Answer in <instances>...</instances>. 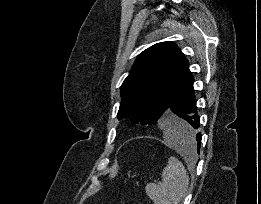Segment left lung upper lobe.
<instances>
[{"label":"left lung upper lobe","instance_id":"5c2ea615","mask_svg":"<svg viewBox=\"0 0 261 204\" xmlns=\"http://www.w3.org/2000/svg\"><path fill=\"white\" fill-rule=\"evenodd\" d=\"M189 72L187 59L172 42L149 47L139 54L121 86L118 119L142 125L163 121Z\"/></svg>","mask_w":261,"mask_h":204}]
</instances>
